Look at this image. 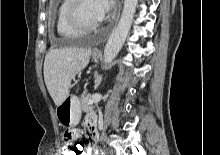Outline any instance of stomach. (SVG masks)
<instances>
[{"instance_id":"stomach-1","label":"stomach","mask_w":220,"mask_h":155,"mask_svg":"<svg viewBox=\"0 0 220 155\" xmlns=\"http://www.w3.org/2000/svg\"><path fill=\"white\" fill-rule=\"evenodd\" d=\"M96 54L93 58H97ZM56 116L62 126H76L81 118V104L79 99L68 93L56 108Z\"/></svg>"}]
</instances>
